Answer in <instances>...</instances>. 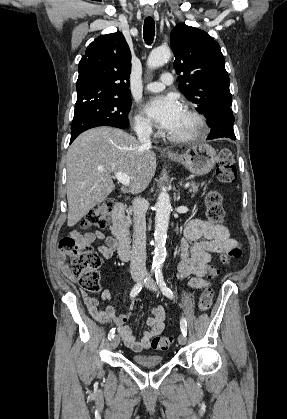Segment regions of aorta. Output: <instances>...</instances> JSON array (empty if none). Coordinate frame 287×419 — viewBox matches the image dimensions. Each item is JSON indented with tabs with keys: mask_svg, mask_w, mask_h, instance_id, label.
I'll use <instances>...</instances> for the list:
<instances>
[{
	"mask_svg": "<svg viewBox=\"0 0 287 419\" xmlns=\"http://www.w3.org/2000/svg\"><path fill=\"white\" fill-rule=\"evenodd\" d=\"M170 56L171 53L169 48H155L154 50H152L148 57L147 66L149 69H156L164 65V63L169 60ZM155 207V250L153 256L152 270L157 271L161 269L162 264L167 255L165 243L167 238L170 213L172 210L170 196L165 190H162L159 193Z\"/></svg>",
	"mask_w": 287,
	"mask_h": 419,
	"instance_id": "1",
	"label": "aorta"
}]
</instances>
